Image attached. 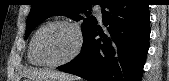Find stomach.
<instances>
[{"label": "stomach", "instance_id": "obj_1", "mask_svg": "<svg viewBox=\"0 0 169 81\" xmlns=\"http://www.w3.org/2000/svg\"><path fill=\"white\" fill-rule=\"evenodd\" d=\"M30 81V80H27ZM48 81H54V80H48ZM55 81H66V80H55Z\"/></svg>", "mask_w": 169, "mask_h": 81}]
</instances>
